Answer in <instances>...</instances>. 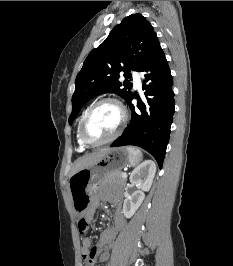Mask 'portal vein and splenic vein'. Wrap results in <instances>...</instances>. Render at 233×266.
<instances>
[{
    "mask_svg": "<svg viewBox=\"0 0 233 266\" xmlns=\"http://www.w3.org/2000/svg\"><path fill=\"white\" fill-rule=\"evenodd\" d=\"M122 177L123 178H127V174L126 173H122Z\"/></svg>",
    "mask_w": 233,
    "mask_h": 266,
    "instance_id": "obj_1",
    "label": "portal vein and splenic vein"
}]
</instances>
